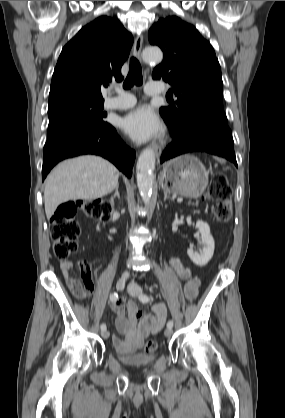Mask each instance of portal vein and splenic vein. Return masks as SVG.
<instances>
[{"label":"portal vein and splenic vein","mask_w":285,"mask_h":418,"mask_svg":"<svg viewBox=\"0 0 285 418\" xmlns=\"http://www.w3.org/2000/svg\"><path fill=\"white\" fill-rule=\"evenodd\" d=\"M183 201V198H177V202L181 203Z\"/></svg>","instance_id":"18ae733b"}]
</instances>
